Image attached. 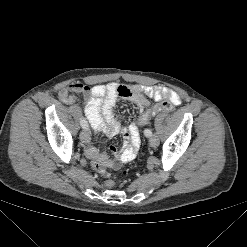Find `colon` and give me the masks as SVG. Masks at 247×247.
Returning <instances> with one entry per match:
<instances>
[{"instance_id": "obj_1", "label": "colon", "mask_w": 247, "mask_h": 247, "mask_svg": "<svg viewBox=\"0 0 247 247\" xmlns=\"http://www.w3.org/2000/svg\"><path fill=\"white\" fill-rule=\"evenodd\" d=\"M129 89L127 86H120L119 87V93L122 96H126L129 95ZM174 110V107L171 103L169 102H162L159 103L157 105H155L152 108H149L145 111L142 112V114L140 115L139 119H138V123L140 125L147 123L151 117H153L154 115L160 113V112H172ZM94 168L96 169V171L103 177L107 178L105 184L107 187H113L115 185L114 180L109 178V175L106 172L105 167H103L101 164H96L94 166Z\"/></svg>"}]
</instances>
